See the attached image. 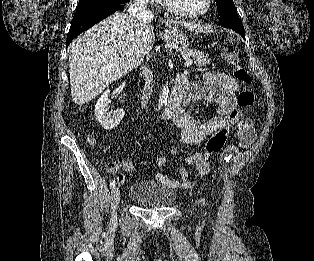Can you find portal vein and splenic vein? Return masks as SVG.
<instances>
[{
  "label": "portal vein and splenic vein",
  "mask_w": 314,
  "mask_h": 261,
  "mask_svg": "<svg viewBox=\"0 0 314 261\" xmlns=\"http://www.w3.org/2000/svg\"><path fill=\"white\" fill-rule=\"evenodd\" d=\"M184 59L186 60V61H185V64H184L186 67H189L190 65H192V63H193V60H192V59H190V58L187 57V56H184ZM111 68H113V67H112V66H109V67L104 68L103 70L106 71V70H110Z\"/></svg>",
  "instance_id": "portal-vein-and-splenic-vein-1"
}]
</instances>
